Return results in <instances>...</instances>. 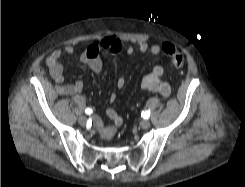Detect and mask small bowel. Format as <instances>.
I'll use <instances>...</instances> for the list:
<instances>
[{
	"label": "small bowel",
	"instance_id": "small-bowel-1",
	"mask_svg": "<svg viewBox=\"0 0 245 187\" xmlns=\"http://www.w3.org/2000/svg\"><path fill=\"white\" fill-rule=\"evenodd\" d=\"M163 44L154 43L149 45L146 41L139 43L138 48L133 47L126 48V53L128 55L134 54H144L150 52L152 55H157L163 52ZM171 44V43H169ZM102 50L110 51L112 53H120L123 50L121 42L114 36H106L99 43L91 44L86 49L80 53H76L74 46L66 45L63 49L54 50L46 58V66L49 69L50 75L54 82L56 83V91L60 95H80L83 91L84 84L82 81H76L74 83H64V68L62 65V59L64 56H69L71 58L77 57L82 63L86 64L94 73L98 74L103 69V63L100 58V52ZM164 68L161 65H155L152 67L151 71L143 77L140 82V88L146 92L159 93L163 97H168L171 94L170 85L163 80ZM117 88L122 89L125 86L124 77H120L117 80ZM116 99L115 94L110 95V101ZM107 117L112 121V125H105L103 120L95 115L93 117V122L103 139L112 138L117 127L122 125V118L113 109L106 110Z\"/></svg>",
	"mask_w": 245,
	"mask_h": 187
}]
</instances>
